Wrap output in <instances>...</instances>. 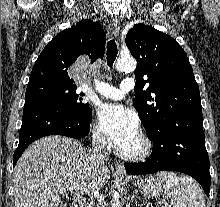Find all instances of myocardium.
Segmentation results:
<instances>
[{
    "instance_id": "obj_1",
    "label": "myocardium",
    "mask_w": 220,
    "mask_h": 207,
    "mask_svg": "<svg viewBox=\"0 0 220 207\" xmlns=\"http://www.w3.org/2000/svg\"><path fill=\"white\" fill-rule=\"evenodd\" d=\"M138 136L142 142V149L137 153L128 154L122 152L120 148H118L117 154L120 158L132 162H140L146 160L151 155L153 150L151 138L143 131L138 132Z\"/></svg>"
}]
</instances>
